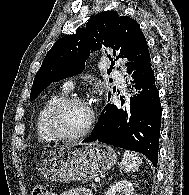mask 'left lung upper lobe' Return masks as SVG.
<instances>
[{
	"label": "left lung upper lobe",
	"instance_id": "left-lung-upper-lobe-1",
	"mask_svg": "<svg viewBox=\"0 0 189 195\" xmlns=\"http://www.w3.org/2000/svg\"><path fill=\"white\" fill-rule=\"evenodd\" d=\"M104 46L112 48L114 56L118 54L117 59L126 60L127 73L150 58L145 36L134 19L116 11L102 12L76 34L55 42L35 76L30 98L52 82L80 74L90 53Z\"/></svg>",
	"mask_w": 189,
	"mask_h": 195
}]
</instances>
